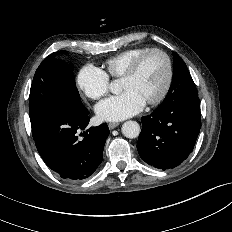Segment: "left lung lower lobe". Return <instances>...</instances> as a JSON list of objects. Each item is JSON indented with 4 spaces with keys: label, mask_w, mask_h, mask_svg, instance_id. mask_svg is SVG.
Returning a JSON list of instances; mask_svg holds the SVG:
<instances>
[{
    "label": "left lung lower lobe",
    "mask_w": 232,
    "mask_h": 232,
    "mask_svg": "<svg viewBox=\"0 0 232 232\" xmlns=\"http://www.w3.org/2000/svg\"><path fill=\"white\" fill-rule=\"evenodd\" d=\"M141 122L137 142L140 157L158 169L175 168L194 148L201 127L200 100L198 96L164 99Z\"/></svg>",
    "instance_id": "obj_1"
}]
</instances>
